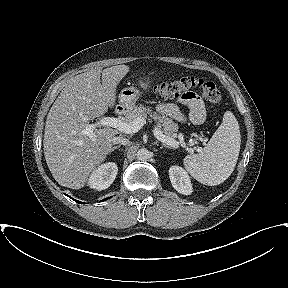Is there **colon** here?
<instances>
[{"label":"colon","instance_id":"1","mask_svg":"<svg viewBox=\"0 0 288 288\" xmlns=\"http://www.w3.org/2000/svg\"><path fill=\"white\" fill-rule=\"evenodd\" d=\"M194 88L201 89L205 100L212 104L221 101V93L213 82L193 76L163 82L155 87V91L163 98H176L184 96Z\"/></svg>","mask_w":288,"mask_h":288}]
</instances>
